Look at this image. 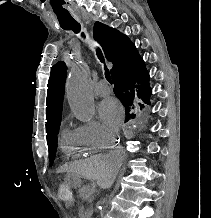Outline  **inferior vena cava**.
Returning a JSON list of instances; mask_svg holds the SVG:
<instances>
[{"label":"inferior vena cava","instance_id":"1","mask_svg":"<svg viewBox=\"0 0 211 218\" xmlns=\"http://www.w3.org/2000/svg\"><path fill=\"white\" fill-rule=\"evenodd\" d=\"M108 156H109V158H119V152H112V154H108ZM113 164L115 166V164H119V162H113ZM117 172H118V170H114L113 174H111V176H109L107 182H104L102 188H110V186H112Z\"/></svg>","mask_w":211,"mask_h":218}]
</instances>
